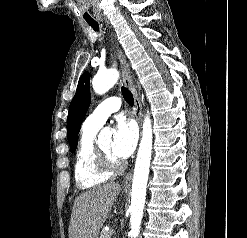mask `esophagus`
<instances>
[{"label": "esophagus", "mask_w": 247, "mask_h": 238, "mask_svg": "<svg viewBox=\"0 0 247 238\" xmlns=\"http://www.w3.org/2000/svg\"><path fill=\"white\" fill-rule=\"evenodd\" d=\"M115 46L117 49L118 59H119L120 67H121V71H122L123 82L133 94L134 111H135V115H136V120H137L139 126H141L142 106H141V102H140L139 96L137 94V91L133 86L132 75L130 72V66H129V63L126 60V57L124 56L123 52L119 48L118 44H115ZM131 180H132V170H130L126 174L125 178L123 179V181H122L123 187H129L131 184Z\"/></svg>", "instance_id": "obj_1"}]
</instances>
